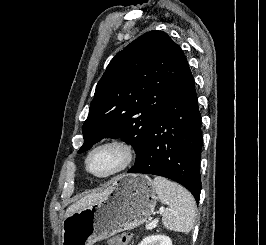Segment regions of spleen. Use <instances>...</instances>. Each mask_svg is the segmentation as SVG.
Here are the masks:
<instances>
[{
  "label": "spleen",
  "mask_w": 266,
  "mask_h": 245,
  "mask_svg": "<svg viewBox=\"0 0 266 245\" xmlns=\"http://www.w3.org/2000/svg\"><path fill=\"white\" fill-rule=\"evenodd\" d=\"M153 185L160 203L168 205L162 215L164 227L177 233H190L196 213V203L191 193L164 177H155Z\"/></svg>",
  "instance_id": "obj_1"
}]
</instances>
